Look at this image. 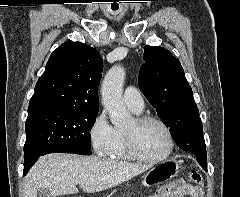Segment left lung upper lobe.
<instances>
[{
	"mask_svg": "<svg viewBox=\"0 0 240 197\" xmlns=\"http://www.w3.org/2000/svg\"><path fill=\"white\" fill-rule=\"evenodd\" d=\"M145 63L139 72V86L150 104L157 109L162 122L170 127L179 147L206 159V147L199 110L192 89L177 58L160 46L144 47ZM196 127V135L181 139V130Z\"/></svg>",
	"mask_w": 240,
	"mask_h": 197,
	"instance_id": "1",
	"label": "left lung upper lobe"
}]
</instances>
